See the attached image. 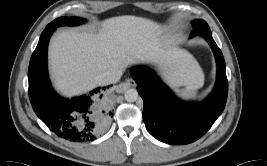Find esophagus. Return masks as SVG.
<instances>
[{"mask_svg": "<svg viewBox=\"0 0 267 166\" xmlns=\"http://www.w3.org/2000/svg\"><path fill=\"white\" fill-rule=\"evenodd\" d=\"M135 86H136V82L132 78H129L128 80H126V82L121 83L118 86L117 91L123 92L125 91V89L130 88V87H135Z\"/></svg>", "mask_w": 267, "mask_h": 166, "instance_id": "1", "label": "esophagus"}]
</instances>
